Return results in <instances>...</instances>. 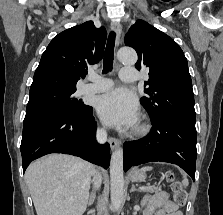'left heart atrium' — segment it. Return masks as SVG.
Masks as SVG:
<instances>
[{"label": "left heart atrium", "instance_id": "obj_1", "mask_svg": "<svg viewBox=\"0 0 223 215\" xmlns=\"http://www.w3.org/2000/svg\"><path fill=\"white\" fill-rule=\"evenodd\" d=\"M96 107L101 119L110 126L127 127L137 121L138 101L127 89L119 88L99 96Z\"/></svg>", "mask_w": 223, "mask_h": 215}]
</instances>
